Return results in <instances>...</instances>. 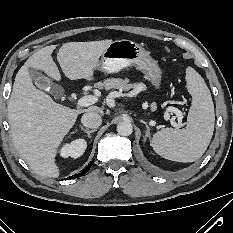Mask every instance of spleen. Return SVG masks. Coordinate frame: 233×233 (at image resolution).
<instances>
[{"instance_id":"obj_1","label":"spleen","mask_w":233,"mask_h":233,"mask_svg":"<svg viewBox=\"0 0 233 233\" xmlns=\"http://www.w3.org/2000/svg\"><path fill=\"white\" fill-rule=\"evenodd\" d=\"M187 90L192 104L183 129L164 128L154 134L151 146L165 159L193 162L206 151L213 136L215 114L211 93L192 67L186 69Z\"/></svg>"}]
</instances>
